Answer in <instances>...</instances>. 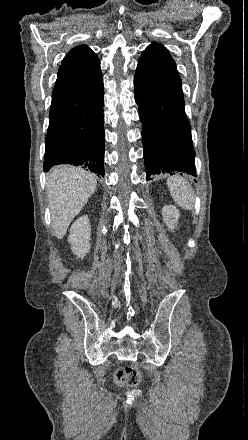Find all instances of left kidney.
<instances>
[{
	"mask_svg": "<svg viewBox=\"0 0 248 440\" xmlns=\"http://www.w3.org/2000/svg\"><path fill=\"white\" fill-rule=\"evenodd\" d=\"M163 220L169 229L173 230L177 226L180 217L179 210L173 205H165L162 209Z\"/></svg>",
	"mask_w": 248,
	"mask_h": 440,
	"instance_id": "left-kidney-1",
	"label": "left kidney"
}]
</instances>
